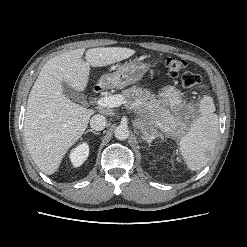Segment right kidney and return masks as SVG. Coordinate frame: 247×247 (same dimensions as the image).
<instances>
[{
  "label": "right kidney",
  "instance_id": "1",
  "mask_svg": "<svg viewBox=\"0 0 247 247\" xmlns=\"http://www.w3.org/2000/svg\"><path fill=\"white\" fill-rule=\"evenodd\" d=\"M88 155L89 146L87 143L84 142L71 151L69 155L70 162L74 167H79L87 159Z\"/></svg>",
  "mask_w": 247,
  "mask_h": 247
}]
</instances>
